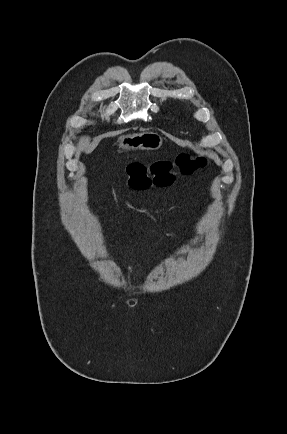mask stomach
I'll list each match as a JSON object with an SVG mask.
<instances>
[{
	"label": "stomach",
	"instance_id": "obj_1",
	"mask_svg": "<svg viewBox=\"0 0 287 434\" xmlns=\"http://www.w3.org/2000/svg\"><path fill=\"white\" fill-rule=\"evenodd\" d=\"M118 145L126 150H157L163 144V138L155 132L124 135L118 138Z\"/></svg>",
	"mask_w": 287,
	"mask_h": 434
}]
</instances>
